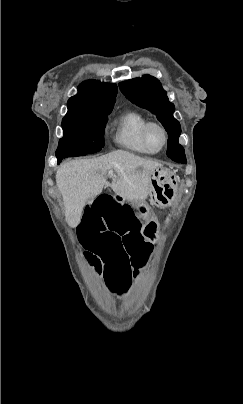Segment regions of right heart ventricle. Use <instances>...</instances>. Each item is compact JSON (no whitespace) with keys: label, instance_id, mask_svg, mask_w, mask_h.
Masks as SVG:
<instances>
[{"label":"right heart ventricle","instance_id":"obj_1","mask_svg":"<svg viewBox=\"0 0 243 404\" xmlns=\"http://www.w3.org/2000/svg\"><path fill=\"white\" fill-rule=\"evenodd\" d=\"M147 117L137 109H128L118 115L113 123V141L122 150L137 155H155L157 148L147 145L141 137V129Z\"/></svg>","mask_w":243,"mask_h":404}]
</instances>
